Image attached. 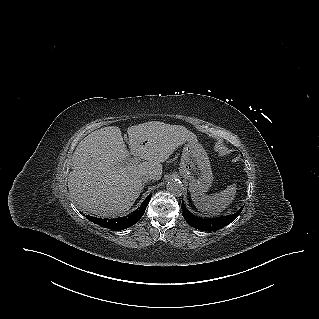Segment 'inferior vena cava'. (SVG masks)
I'll return each mask as SVG.
<instances>
[{
	"instance_id": "1",
	"label": "inferior vena cava",
	"mask_w": 319,
	"mask_h": 319,
	"mask_svg": "<svg viewBox=\"0 0 319 319\" xmlns=\"http://www.w3.org/2000/svg\"><path fill=\"white\" fill-rule=\"evenodd\" d=\"M154 178L152 173H144L141 175V180L143 182H147L148 180H152Z\"/></svg>"
}]
</instances>
